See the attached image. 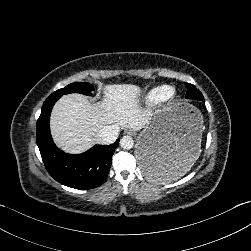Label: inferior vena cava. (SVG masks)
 I'll use <instances>...</instances> for the list:
<instances>
[{
  "label": "inferior vena cava",
  "mask_w": 251,
  "mask_h": 251,
  "mask_svg": "<svg viewBox=\"0 0 251 251\" xmlns=\"http://www.w3.org/2000/svg\"><path fill=\"white\" fill-rule=\"evenodd\" d=\"M119 131L118 125L105 126L98 132L97 141L101 144H112L116 141Z\"/></svg>",
  "instance_id": "inferior-vena-cava-1"
}]
</instances>
